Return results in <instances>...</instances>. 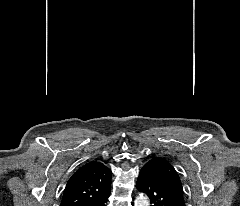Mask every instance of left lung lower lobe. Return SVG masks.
<instances>
[{
    "label": "left lung lower lobe",
    "instance_id": "left-lung-lower-lobe-1",
    "mask_svg": "<svg viewBox=\"0 0 240 206\" xmlns=\"http://www.w3.org/2000/svg\"><path fill=\"white\" fill-rule=\"evenodd\" d=\"M140 192L150 198L151 206H185L165 184L153 163H146L140 171L136 184Z\"/></svg>",
    "mask_w": 240,
    "mask_h": 206
}]
</instances>
